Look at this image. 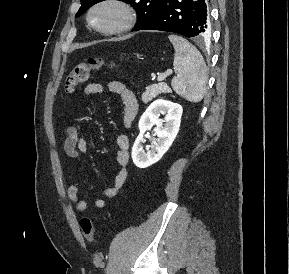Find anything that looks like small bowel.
<instances>
[{"mask_svg":"<svg viewBox=\"0 0 289 274\" xmlns=\"http://www.w3.org/2000/svg\"><path fill=\"white\" fill-rule=\"evenodd\" d=\"M117 94L124 106L123 124L125 127H130L138 113V101L131 89L120 81H110L106 85L100 83H90L85 89V95L100 94L105 91ZM66 138L64 141L65 154L73 159L79 160L81 155L89 152L88 142L79 134L76 126H68L65 130ZM129 138L126 134H120L116 140L117 147V162L119 165L118 173L115 176L113 183L103 189L102 194L105 198L115 197L124 186L128 177L129 163ZM80 187L77 184H72L67 190L68 198L75 203L79 212H85L88 209L89 202L87 199L79 198ZM94 207L103 209L107 207V202L104 198H96L93 200Z\"/></svg>","mask_w":289,"mask_h":274,"instance_id":"c3829d8e","label":"small bowel"}]
</instances>
